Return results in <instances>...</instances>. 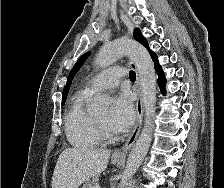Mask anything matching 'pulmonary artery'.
<instances>
[{
	"label": "pulmonary artery",
	"mask_w": 224,
	"mask_h": 188,
	"mask_svg": "<svg viewBox=\"0 0 224 188\" xmlns=\"http://www.w3.org/2000/svg\"><path fill=\"white\" fill-rule=\"evenodd\" d=\"M125 76V69L121 67H113L102 71L93 77L85 87L90 93L115 88L122 77Z\"/></svg>",
	"instance_id": "e3ab8cb5"
}]
</instances>
